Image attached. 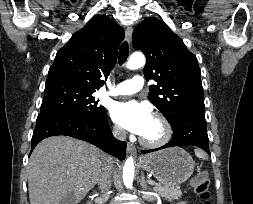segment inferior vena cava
Here are the masks:
<instances>
[{
  "label": "inferior vena cava",
  "instance_id": "602c4592",
  "mask_svg": "<svg viewBox=\"0 0 253 204\" xmlns=\"http://www.w3.org/2000/svg\"><path fill=\"white\" fill-rule=\"evenodd\" d=\"M114 136L119 140L124 141L126 139V132L122 129H117L114 132ZM114 170L113 163L110 159H107L104 163L101 175L98 179V185L103 194H106L111 187V175Z\"/></svg>",
  "mask_w": 253,
  "mask_h": 204
}]
</instances>
